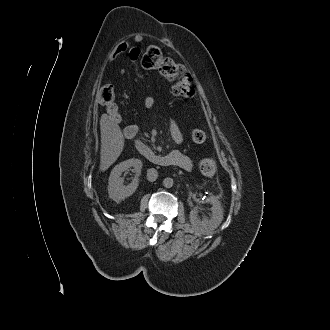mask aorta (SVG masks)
I'll list each match as a JSON object with an SVG mask.
<instances>
[{
  "label": "aorta",
  "instance_id": "1",
  "mask_svg": "<svg viewBox=\"0 0 330 330\" xmlns=\"http://www.w3.org/2000/svg\"><path fill=\"white\" fill-rule=\"evenodd\" d=\"M173 184H174V181L170 177H167L163 180V186L166 188H171L173 186Z\"/></svg>",
  "mask_w": 330,
  "mask_h": 330
}]
</instances>
